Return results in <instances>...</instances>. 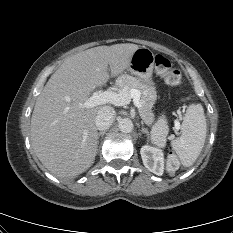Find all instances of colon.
<instances>
[{"label":"colon","mask_w":233,"mask_h":233,"mask_svg":"<svg viewBox=\"0 0 233 233\" xmlns=\"http://www.w3.org/2000/svg\"><path fill=\"white\" fill-rule=\"evenodd\" d=\"M154 64L156 72L164 78L165 82L172 86H177L181 83L182 75L179 70L171 67L170 61L163 55L154 56ZM168 133L167 120L161 117L153 128L151 141L152 143L163 148L166 144V137ZM180 167L179 160L173 152H169L166 159V171L170 174L175 173Z\"/></svg>","instance_id":"obj_1"}]
</instances>
